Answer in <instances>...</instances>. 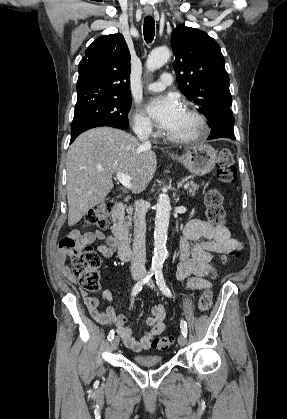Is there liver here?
Returning <instances> with one entry per match:
<instances>
[{"instance_id":"1","label":"liver","mask_w":287,"mask_h":419,"mask_svg":"<svg viewBox=\"0 0 287 419\" xmlns=\"http://www.w3.org/2000/svg\"><path fill=\"white\" fill-rule=\"evenodd\" d=\"M156 168L155 152L123 130L98 127L82 133L67 153L68 225L74 226L105 200L114 173L129 175L133 190L141 192Z\"/></svg>"}]
</instances>
